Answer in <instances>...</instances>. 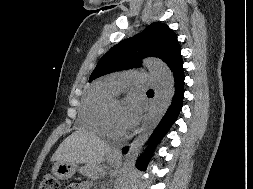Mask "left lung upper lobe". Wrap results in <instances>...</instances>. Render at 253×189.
<instances>
[{"label":"left lung upper lobe","mask_w":253,"mask_h":189,"mask_svg":"<svg viewBox=\"0 0 253 189\" xmlns=\"http://www.w3.org/2000/svg\"><path fill=\"white\" fill-rule=\"evenodd\" d=\"M162 59L173 72L183 62L177 36L164 23H152L142 33L113 46L98 62L89 82L118 70L138 67L142 59Z\"/></svg>","instance_id":"1"}]
</instances>
